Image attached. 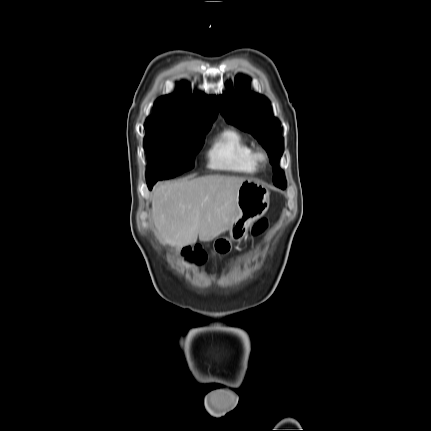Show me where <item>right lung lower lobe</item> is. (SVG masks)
Returning <instances> with one entry per match:
<instances>
[{
    "instance_id": "98d812e1",
    "label": "right lung lower lobe",
    "mask_w": 431,
    "mask_h": 431,
    "mask_svg": "<svg viewBox=\"0 0 431 431\" xmlns=\"http://www.w3.org/2000/svg\"><path fill=\"white\" fill-rule=\"evenodd\" d=\"M147 184H148V188L151 189L152 186L155 184V182L154 181H147Z\"/></svg>"
}]
</instances>
